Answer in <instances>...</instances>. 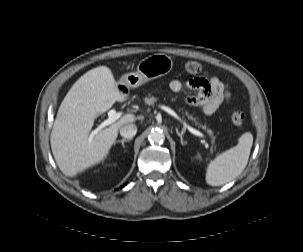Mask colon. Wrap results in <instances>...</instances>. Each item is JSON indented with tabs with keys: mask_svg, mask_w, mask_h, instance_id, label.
I'll use <instances>...</instances> for the list:
<instances>
[{
	"mask_svg": "<svg viewBox=\"0 0 303 252\" xmlns=\"http://www.w3.org/2000/svg\"><path fill=\"white\" fill-rule=\"evenodd\" d=\"M184 70L189 74L198 75L204 72V67L197 61H187L184 63ZM231 121L235 127L240 128L244 124L245 115L240 111H236L232 114Z\"/></svg>",
	"mask_w": 303,
	"mask_h": 252,
	"instance_id": "5ec220e1",
	"label": "colon"
}]
</instances>
